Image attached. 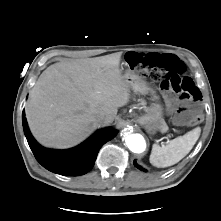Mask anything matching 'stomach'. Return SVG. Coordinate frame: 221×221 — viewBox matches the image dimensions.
Wrapping results in <instances>:
<instances>
[{
  "instance_id": "0dacf381",
  "label": "stomach",
  "mask_w": 221,
  "mask_h": 221,
  "mask_svg": "<svg viewBox=\"0 0 221 221\" xmlns=\"http://www.w3.org/2000/svg\"><path fill=\"white\" fill-rule=\"evenodd\" d=\"M130 88L141 94L153 92V89L132 68H128L123 75ZM164 108L159 102H154L147 109L144 115L137 117V122L142 125L149 134L156 131H166L165 121L163 119Z\"/></svg>"
}]
</instances>
